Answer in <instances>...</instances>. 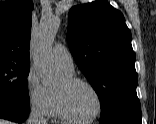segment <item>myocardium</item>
<instances>
[{
  "instance_id": "1",
  "label": "myocardium",
  "mask_w": 156,
  "mask_h": 124,
  "mask_svg": "<svg viewBox=\"0 0 156 124\" xmlns=\"http://www.w3.org/2000/svg\"><path fill=\"white\" fill-rule=\"evenodd\" d=\"M64 79H65L66 85H68V86L76 85V84H82V85L87 86L96 96L98 108H97L96 113L93 116H91L89 118H79V117L75 116L71 112V110L68 108L64 92L62 90L55 89L56 101H57L58 109H59L61 116L67 121H70L73 123H79V124L91 123V122L97 120L103 113L104 102H103V98H102L99 90L96 88V86L94 84H92L90 81H88L84 78H81V77L74 76V75H66L64 77Z\"/></svg>"
}]
</instances>
